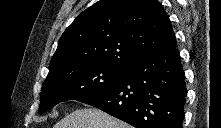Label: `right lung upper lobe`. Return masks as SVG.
<instances>
[{
  "label": "right lung upper lobe",
  "mask_w": 221,
  "mask_h": 128,
  "mask_svg": "<svg viewBox=\"0 0 221 128\" xmlns=\"http://www.w3.org/2000/svg\"><path fill=\"white\" fill-rule=\"evenodd\" d=\"M176 47L170 20L157 0H100L62 34L49 73L68 66L128 68Z\"/></svg>",
  "instance_id": "obj_1"
}]
</instances>
